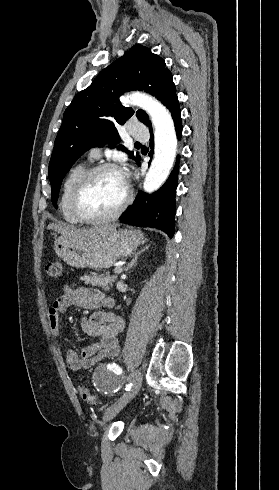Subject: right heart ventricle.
<instances>
[{
    "label": "right heart ventricle",
    "instance_id": "e07e8e85",
    "mask_svg": "<svg viewBox=\"0 0 279 490\" xmlns=\"http://www.w3.org/2000/svg\"><path fill=\"white\" fill-rule=\"evenodd\" d=\"M88 169L85 162L73 165L67 172L60 191V211L65 222L71 225H82L81 220L74 211L73 197L78 181Z\"/></svg>",
    "mask_w": 279,
    "mask_h": 490
}]
</instances>
